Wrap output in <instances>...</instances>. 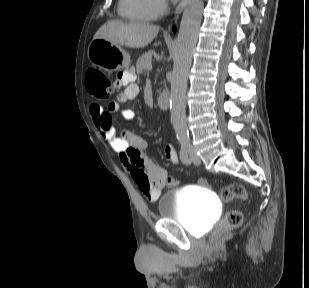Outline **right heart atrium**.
<instances>
[{
  "label": "right heart atrium",
  "mask_w": 309,
  "mask_h": 288,
  "mask_svg": "<svg viewBox=\"0 0 309 288\" xmlns=\"http://www.w3.org/2000/svg\"><path fill=\"white\" fill-rule=\"evenodd\" d=\"M151 2L157 16L164 14L168 9L167 0H151Z\"/></svg>",
  "instance_id": "1"
}]
</instances>
